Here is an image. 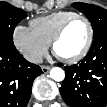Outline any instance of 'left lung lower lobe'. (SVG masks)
Instances as JSON below:
<instances>
[{"mask_svg":"<svg viewBox=\"0 0 107 107\" xmlns=\"http://www.w3.org/2000/svg\"><path fill=\"white\" fill-rule=\"evenodd\" d=\"M66 77L60 87L70 107H105L107 105V35L93 40L90 51L80 63L65 67Z\"/></svg>","mask_w":107,"mask_h":107,"instance_id":"0a47b994","label":"left lung lower lobe"}]
</instances>
